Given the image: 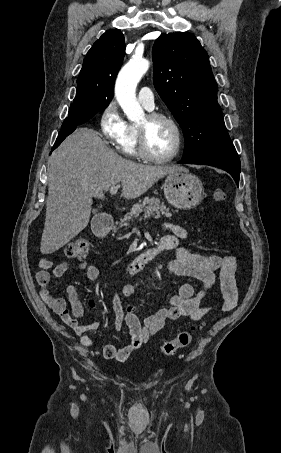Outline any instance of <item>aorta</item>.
Returning a JSON list of instances; mask_svg holds the SVG:
<instances>
[{"instance_id":"1","label":"aorta","mask_w":281,"mask_h":453,"mask_svg":"<svg viewBox=\"0 0 281 453\" xmlns=\"http://www.w3.org/2000/svg\"><path fill=\"white\" fill-rule=\"evenodd\" d=\"M149 66L147 59L133 58L120 70L116 79V99L127 118L133 122L144 118V111L136 99V87Z\"/></svg>"}]
</instances>
